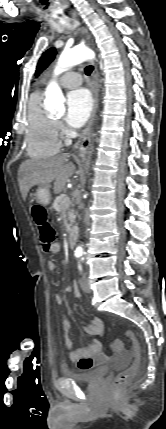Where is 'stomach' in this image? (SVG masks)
<instances>
[{"label": "stomach", "instance_id": "stomach-1", "mask_svg": "<svg viewBox=\"0 0 166 429\" xmlns=\"http://www.w3.org/2000/svg\"><path fill=\"white\" fill-rule=\"evenodd\" d=\"M34 198L39 204H42L43 206H47L48 204H50L51 193L48 186H40L36 190Z\"/></svg>", "mask_w": 166, "mask_h": 429}]
</instances>
